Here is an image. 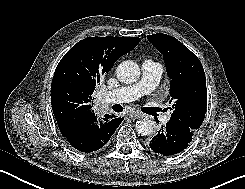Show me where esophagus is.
<instances>
[{
  "label": "esophagus",
  "mask_w": 245,
  "mask_h": 189,
  "mask_svg": "<svg viewBox=\"0 0 245 189\" xmlns=\"http://www.w3.org/2000/svg\"><path fill=\"white\" fill-rule=\"evenodd\" d=\"M128 115L133 120L139 119L141 117V114L138 111H131Z\"/></svg>",
  "instance_id": "esophagus-1"
}]
</instances>
